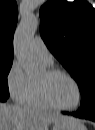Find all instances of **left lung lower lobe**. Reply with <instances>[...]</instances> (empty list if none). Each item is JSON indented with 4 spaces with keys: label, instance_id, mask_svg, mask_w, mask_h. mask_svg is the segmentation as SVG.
<instances>
[{
    "label": "left lung lower lobe",
    "instance_id": "obj_1",
    "mask_svg": "<svg viewBox=\"0 0 95 130\" xmlns=\"http://www.w3.org/2000/svg\"><path fill=\"white\" fill-rule=\"evenodd\" d=\"M69 114V113H66ZM71 115L83 119L95 121V98L90 99L84 105H81L80 110L71 113Z\"/></svg>",
    "mask_w": 95,
    "mask_h": 130
}]
</instances>
